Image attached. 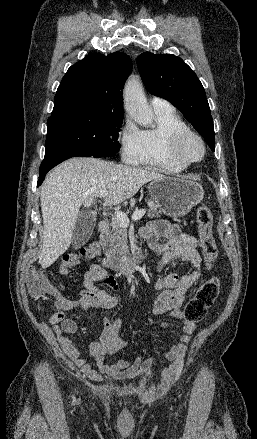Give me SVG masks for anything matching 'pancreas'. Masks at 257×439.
<instances>
[{
  "mask_svg": "<svg viewBox=\"0 0 257 439\" xmlns=\"http://www.w3.org/2000/svg\"><path fill=\"white\" fill-rule=\"evenodd\" d=\"M150 206L147 216L149 218L158 217L162 209L153 199L147 201ZM112 230L102 236V245L105 249L106 261L109 267L122 261L121 254L127 248V229L120 226L116 219L112 220Z\"/></svg>",
  "mask_w": 257,
  "mask_h": 439,
  "instance_id": "cf45deb5",
  "label": "pancreas"
}]
</instances>
